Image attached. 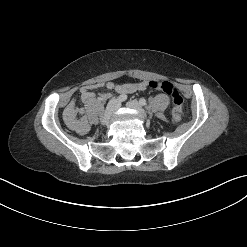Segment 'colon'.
<instances>
[{"label":"colon","instance_id":"1","mask_svg":"<svg viewBox=\"0 0 247 247\" xmlns=\"http://www.w3.org/2000/svg\"><path fill=\"white\" fill-rule=\"evenodd\" d=\"M148 86L172 98L174 104L172 121L173 123H178L181 119L184 100L174 85L169 81L153 80L148 83Z\"/></svg>","mask_w":247,"mask_h":247}]
</instances>
